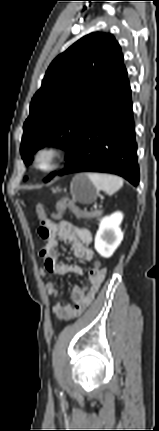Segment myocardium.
<instances>
[{
  "mask_svg": "<svg viewBox=\"0 0 159 431\" xmlns=\"http://www.w3.org/2000/svg\"><path fill=\"white\" fill-rule=\"evenodd\" d=\"M47 156L49 163L47 166H42L41 158ZM64 159V151L61 147L55 144H43L39 146L32 155L34 167L44 173L56 170Z\"/></svg>",
  "mask_w": 159,
  "mask_h": 431,
  "instance_id": "1",
  "label": "myocardium"
}]
</instances>
